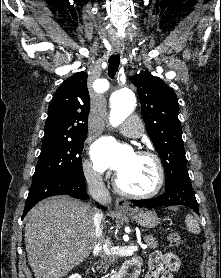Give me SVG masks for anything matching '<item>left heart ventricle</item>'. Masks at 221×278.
Returning <instances> with one entry per match:
<instances>
[{
	"instance_id": "left-heart-ventricle-1",
	"label": "left heart ventricle",
	"mask_w": 221,
	"mask_h": 278,
	"mask_svg": "<svg viewBox=\"0 0 221 278\" xmlns=\"http://www.w3.org/2000/svg\"><path fill=\"white\" fill-rule=\"evenodd\" d=\"M157 177V167L154 161L135 153L126 166L118 172L122 187L134 192L152 190L157 183Z\"/></svg>"
}]
</instances>
